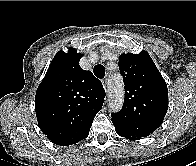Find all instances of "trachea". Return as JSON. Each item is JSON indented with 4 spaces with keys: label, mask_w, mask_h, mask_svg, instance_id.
I'll list each match as a JSON object with an SVG mask.
<instances>
[{
    "label": "trachea",
    "mask_w": 196,
    "mask_h": 166,
    "mask_svg": "<svg viewBox=\"0 0 196 166\" xmlns=\"http://www.w3.org/2000/svg\"><path fill=\"white\" fill-rule=\"evenodd\" d=\"M94 74L97 78H103L105 76V68L102 65L95 66Z\"/></svg>",
    "instance_id": "obj_1"
}]
</instances>
